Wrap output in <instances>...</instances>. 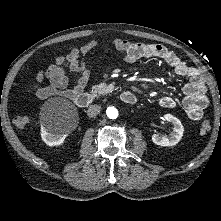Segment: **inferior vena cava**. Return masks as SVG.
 <instances>
[{
    "instance_id": "obj_1",
    "label": "inferior vena cava",
    "mask_w": 221,
    "mask_h": 221,
    "mask_svg": "<svg viewBox=\"0 0 221 221\" xmlns=\"http://www.w3.org/2000/svg\"><path fill=\"white\" fill-rule=\"evenodd\" d=\"M101 111L100 105H91L87 110V115L89 117H96Z\"/></svg>"
}]
</instances>
